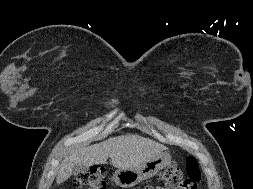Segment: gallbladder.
Masks as SVG:
<instances>
[{
	"instance_id": "bac80fb5",
	"label": "gallbladder",
	"mask_w": 253,
	"mask_h": 189,
	"mask_svg": "<svg viewBox=\"0 0 253 189\" xmlns=\"http://www.w3.org/2000/svg\"><path fill=\"white\" fill-rule=\"evenodd\" d=\"M87 170H88L87 166H85L83 164H77L74 166L72 174L74 176H77L80 173H85Z\"/></svg>"
}]
</instances>
